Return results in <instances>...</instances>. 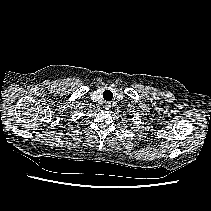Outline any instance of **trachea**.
I'll use <instances>...</instances> for the list:
<instances>
[{
    "label": "trachea",
    "instance_id": "1",
    "mask_svg": "<svg viewBox=\"0 0 211 211\" xmlns=\"http://www.w3.org/2000/svg\"><path fill=\"white\" fill-rule=\"evenodd\" d=\"M103 98L106 101H111L112 98H113V93L110 90H105L104 93H103Z\"/></svg>",
    "mask_w": 211,
    "mask_h": 211
}]
</instances>
